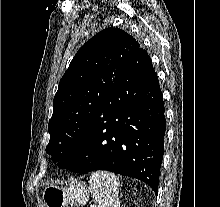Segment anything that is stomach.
<instances>
[{
  "label": "stomach",
  "mask_w": 220,
  "mask_h": 207,
  "mask_svg": "<svg viewBox=\"0 0 220 207\" xmlns=\"http://www.w3.org/2000/svg\"><path fill=\"white\" fill-rule=\"evenodd\" d=\"M89 192V187L82 182H71L68 187L56 185L45 187L42 198L46 207H68V204H85L88 201Z\"/></svg>",
  "instance_id": "stomach-1"
}]
</instances>
